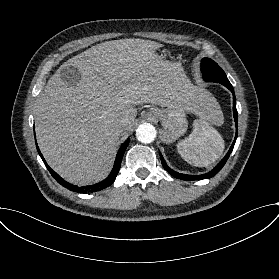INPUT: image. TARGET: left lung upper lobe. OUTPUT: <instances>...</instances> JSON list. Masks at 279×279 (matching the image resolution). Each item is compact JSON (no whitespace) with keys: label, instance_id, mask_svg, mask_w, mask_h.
Instances as JSON below:
<instances>
[{"label":"left lung upper lobe","instance_id":"1","mask_svg":"<svg viewBox=\"0 0 279 279\" xmlns=\"http://www.w3.org/2000/svg\"><path fill=\"white\" fill-rule=\"evenodd\" d=\"M201 72L206 82H218L226 87L231 85L222 68L210 58L202 59Z\"/></svg>","mask_w":279,"mask_h":279}]
</instances>
